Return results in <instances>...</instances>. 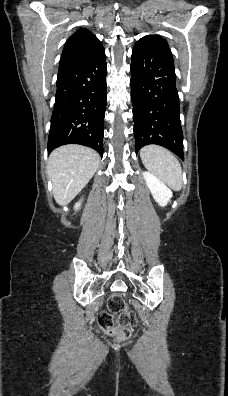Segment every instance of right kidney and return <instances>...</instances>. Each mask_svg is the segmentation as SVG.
Here are the masks:
<instances>
[{"mask_svg":"<svg viewBox=\"0 0 228 396\" xmlns=\"http://www.w3.org/2000/svg\"><path fill=\"white\" fill-rule=\"evenodd\" d=\"M80 204H81L80 202L76 203L74 208L77 210L80 207Z\"/></svg>","mask_w":228,"mask_h":396,"instance_id":"1","label":"right kidney"}]
</instances>
